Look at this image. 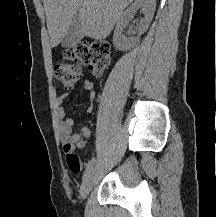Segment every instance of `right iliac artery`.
Listing matches in <instances>:
<instances>
[{
  "label": "right iliac artery",
  "instance_id": "right-iliac-artery-1",
  "mask_svg": "<svg viewBox=\"0 0 216 217\" xmlns=\"http://www.w3.org/2000/svg\"><path fill=\"white\" fill-rule=\"evenodd\" d=\"M94 163H95V158L91 159V160L88 162V164L86 165V170H85L84 177L90 172V170L92 169Z\"/></svg>",
  "mask_w": 216,
  "mask_h": 217
}]
</instances>
